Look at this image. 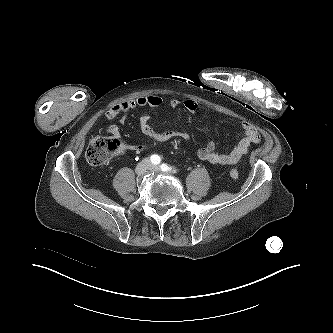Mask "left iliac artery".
Masks as SVG:
<instances>
[{
    "label": "left iliac artery",
    "instance_id": "1",
    "mask_svg": "<svg viewBox=\"0 0 333 333\" xmlns=\"http://www.w3.org/2000/svg\"><path fill=\"white\" fill-rule=\"evenodd\" d=\"M161 170L165 171V172H173L176 173V170L172 169L171 167H169L167 164L163 163L161 165Z\"/></svg>",
    "mask_w": 333,
    "mask_h": 333
}]
</instances>
